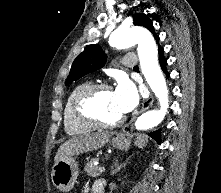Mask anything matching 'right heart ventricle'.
I'll return each instance as SVG.
<instances>
[{"label":"right heart ventricle","mask_w":221,"mask_h":193,"mask_svg":"<svg viewBox=\"0 0 221 193\" xmlns=\"http://www.w3.org/2000/svg\"><path fill=\"white\" fill-rule=\"evenodd\" d=\"M88 84L90 83L87 81L77 84L72 89V91L70 92L66 100L65 109H64V129H65V132L70 136L86 134L95 129L94 126H91V125H88L79 121L73 110V103H74L76 96Z\"/></svg>","instance_id":"e07e8e85"}]
</instances>
